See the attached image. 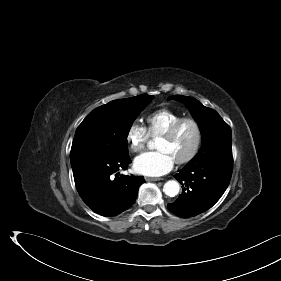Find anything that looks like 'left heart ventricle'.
Masks as SVG:
<instances>
[{"instance_id": "b2bd125f", "label": "left heart ventricle", "mask_w": 281, "mask_h": 281, "mask_svg": "<svg viewBox=\"0 0 281 281\" xmlns=\"http://www.w3.org/2000/svg\"><path fill=\"white\" fill-rule=\"evenodd\" d=\"M196 141V130L191 123L183 124L171 139L160 138L157 149L168 152L176 161L188 155Z\"/></svg>"}]
</instances>
